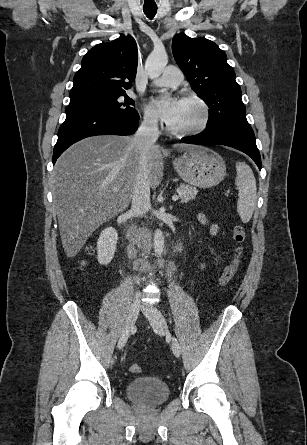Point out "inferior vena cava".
<instances>
[{"mask_svg":"<svg viewBox=\"0 0 307 445\" xmlns=\"http://www.w3.org/2000/svg\"><path fill=\"white\" fill-rule=\"evenodd\" d=\"M159 136L158 120L153 116H144L137 132L131 140V148L139 154L138 172L135 178V186L132 194L131 210L134 214H144L149 210L150 184L148 180L149 156L148 150ZM140 293L133 298L135 303L140 301Z\"/></svg>","mask_w":307,"mask_h":445,"instance_id":"obj_1","label":"inferior vena cava"}]
</instances>
